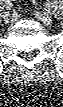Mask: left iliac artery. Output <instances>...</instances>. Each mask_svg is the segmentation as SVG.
I'll use <instances>...</instances> for the list:
<instances>
[{"mask_svg": "<svg viewBox=\"0 0 63 107\" xmlns=\"http://www.w3.org/2000/svg\"><path fill=\"white\" fill-rule=\"evenodd\" d=\"M47 7H48V9H51L53 7L52 3L50 1L47 2Z\"/></svg>", "mask_w": 63, "mask_h": 107, "instance_id": "1", "label": "left iliac artery"}]
</instances>
